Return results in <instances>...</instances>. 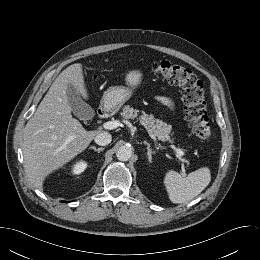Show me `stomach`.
I'll list each match as a JSON object with an SVG mask.
<instances>
[{"mask_svg":"<svg viewBox=\"0 0 260 260\" xmlns=\"http://www.w3.org/2000/svg\"><path fill=\"white\" fill-rule=\"evenodd\" d=\"M125 86H113L108 88L102 97V103L107 109H119L133 94L142 81V72L139 69L130 70L126 75Z\"/></svg>","mask_w":260,"mask_h":260,"instance_id":"0dacf381","label":"stomach"}]
</instances>
